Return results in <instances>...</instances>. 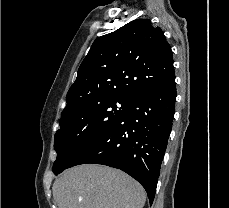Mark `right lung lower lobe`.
Returning a JSON list of instances; mask_svg holds the SVG:
<instances>
[{
    "label": "right lung lower lobe",
    "mask_w": 229,
    "mask_h": 208,
    "mask_svg": "<svg viewBox=\"0 0 229 208\" xmlns=\"http://www.w3.org/2000/svg\"><path fill=\"white\" fill-rule=\"evenodd\" d=\"M175 101L173 75L140 93L113 125L83 147L67 168L94 163L121 169L145 188L152 204Z\"/></svg>",
    "instance_id": "98d812e1"
}]
</instances>
